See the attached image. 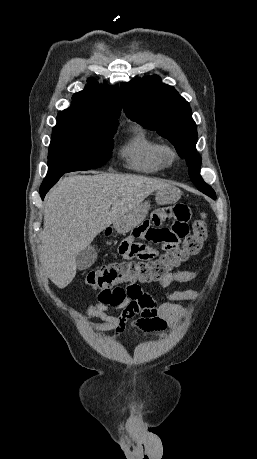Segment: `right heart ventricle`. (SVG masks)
Listing matches in <instances>:
<instances>
[{
    "label": "right heart ventricle",
    "instance_id": "right-heart-ventricle-1",
    "mask_svg": "<svg viewBox=\"0 0 257 459\" xmlns=\"http://www.w3.org/2000/svg\"><path fill=\"white\" fill-rule=\"evenodd\" d=\"M161 146L143 128L137 127L122 146L120 154L128 168L143 173H156L166 166L160 154Z\"/></svg>",
    "mask_w": 257,
    "mask_h": 459
}]
</instances>
